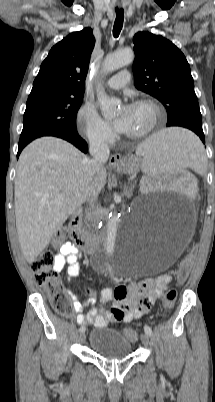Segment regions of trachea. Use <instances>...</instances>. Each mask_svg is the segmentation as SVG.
Here are the masks:
<instances>
[{
	"instance_id": "1",
	"label": "trachea",
	"mask_w": 215,
	"mask_h": 402,
	"mask_svg": "<svg viewBox=\"0 0 215 402\" xmlns=\"http://www.w3.org/2000/svg\"><path fill=\"white\" fill-rule=\"evenodd\" d=\"M124 20V11L116 10V19L113 26V36L117 38L122 30Z\"/></svg>"
}]
</instances>
